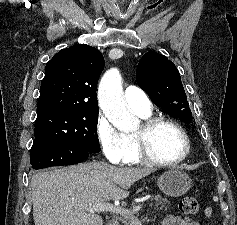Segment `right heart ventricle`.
<instances>
[{
	"mask_svg": "<svg viewBox=\"0 0 237 225\" xmlns=\"http://www.w3.org/2000/svg\"><path fill=\"white\" fill-rule=\"evenodd\" d=\"M137 115H139L140 117L144 118V119H147L150 114H147V115H142V114H139L137 112H135ZM130 141L132 142L133 144V152H132V155L130 157V159L128 160L129 163H138L139 162V158L136 154V150H135V145H134V142L130 139Z\"/></svg>",
	"mask_w": 237,
	"mask_h": 225,
	"instance_id": "1",
	"label": "right heart ventricle"
}]
</instances>
